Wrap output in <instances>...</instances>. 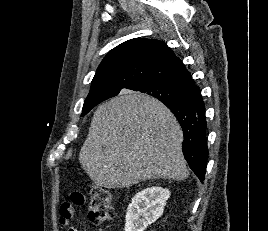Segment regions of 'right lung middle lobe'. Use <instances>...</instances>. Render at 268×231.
<instances>
[{"label": "right lung middle lobe", "instance_id": "dd1d6c3e", "mask_svg": "<svg viewBox=\"0 0 268 231\" xmlns=\"http://www.w3.org/2000/svg\"><path fill=\"white\" fill-rule=\"evenodd\" d=\"M131 90L139 91L141 93H145L148 95H151L161 102H178V103H184L189 101L194 94L187 90H183L180 88H176L174 86H171L167 83L159 82V81H142L137 84H135ZM120 92V89H112V90H106L103 94L104 95H117ZM99 104V103H97ZM97 104L92 103H85L83 106L82 114L81 116H84L87 114L94 106Z\"/></svg>", "mask_w": 268, "mask_h": 231}]
</instances>
